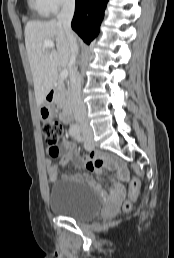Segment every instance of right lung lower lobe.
Returning <instances> with one entry per match:
<instances>
[{"instance_id": "1", "label": "right lung lower lobe", "mask_w": 174, "mask_h": 258, "mask_svg": "<svg viewBox=\"0 0 174 258\" xmlns=\"http://www.w3.org/2000/svg\"><path fill=\"white\" fill-rule=\"evenodd\" d=\"M107 2L108 0H76L71 26L87 44L99 33Z\"/></svg>"}]
</instances>
